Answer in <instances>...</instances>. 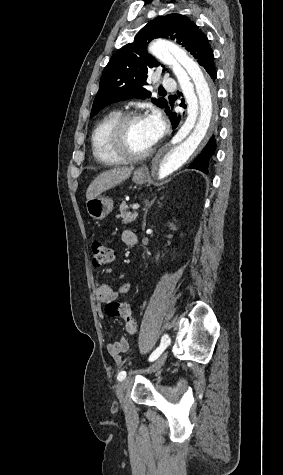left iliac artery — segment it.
<instances>
[{
  "instance_id": "obj_1",
  "label": "left iliac artery",
  "mask_w": 283,
  "mask_h": 475,
  "mask_svg": "<svg viewBox=\"0 0 283 475\" xmlns=\"http://www.w3.org/2000/svg\"><path fill=\"white\" fill-rule=\"evenodd\" d=\"M169 342L170 341L168 340V335L167 334L163 335L160 346L150 355L149 361L152 362L156 360L162 354V352L166 349V347L169 345ZM125 377H126V371H121L118 374L117 379L119 381H122L125 379Z\"/></svg>"
}]
</instances>
